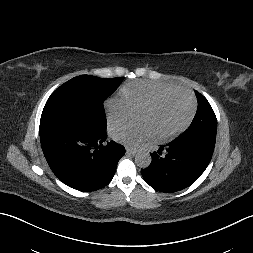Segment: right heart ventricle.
<instances>
[{
    "label": "right heart ventricle",
    "instance_id": "e07e8e85",
    "mask_svg": "<svg viewBox=\"0 0 253 253\" xmlns=\"http://www.w3.org/2000/svg\"><path fill=\"white\" fill-rule=\"evenodd\" d=\"M178 88L171 83L137 80L124 85L121 95L126 99L131 108H142L162 91Z\"/></svg>",
    "mask_w": 253,
    "mask_h": 253
}]
</instances>
